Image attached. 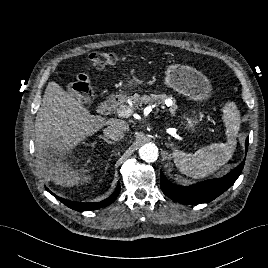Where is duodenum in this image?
<instances>
[{
    "label": "duodenum",
    "instance_id": "1",
    "mask_svg": "<svg viewBox=\"0 0 268 268\" xmlns=\"http://www.w3.org/2000/svg\"><path fill=\"white\" fill-rule=\"evenodd\" d=\"M120 98L118 95H110L99 107L102 114H110L120 105Z\"/></svg>",
    "mask_w": 268,
    "mask_h": 268
}]
</instances>
